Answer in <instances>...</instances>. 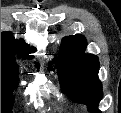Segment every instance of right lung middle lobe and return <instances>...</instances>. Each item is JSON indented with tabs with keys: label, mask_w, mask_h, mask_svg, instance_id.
Segmentation results:
<instances>
[{
	"label": "right lung middle lobe",
	"mask_w": 121,
	"mask_h": 113,
	"mask_svg": "<svg viewBox=\"0 0 121 113\" xmlns=\"http://www.w3.org/2000/svg\"><path fill=\"white\" fill-rule=\"evenodd\" d=\"M17 74V70L1 66V113H11L12 93L18 84Z\"/></svg>",
	"instance_id": "obj_1"
}]
</instances>
